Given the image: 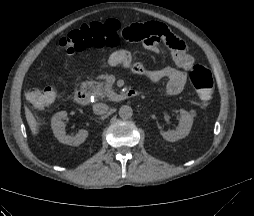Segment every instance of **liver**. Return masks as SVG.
I'll return each mask as SVG.
<instances>
[{"label":"liver","instance_id":"1","mask_svg":"<svg viewBox=\"0 0 254 216\" xmlns=\"http://www.w3.org/2000/svg\"><path fill=\"white\" fill-rule=\"evenodd\" d=\"M25 115H26V120L28 122V125L30 127V130H31L32 134L37 135V133H38L37 132V125H38V123H37L35 117L33 116V114L31 113V111L28 108L25 109Z\"/></svg>","mask_w":254,"mask_h":216}]
</instances>
